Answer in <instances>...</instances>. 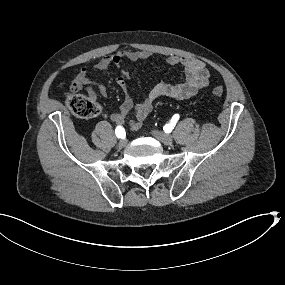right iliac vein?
Masks as SVG:
<instances>
[{
  "label": "right iliac vein",
  "instance_id": "63e3f726",
  "mask_svg": "<svg viewBox=\"0 0 285 285\" xmlns=\"http://www.w3.org/2000/svg\"><path fill=\"white\" fill-rule=\"evenodd\" d=\"M127 145V141L125 139H122L119 141V148H124Z\"/></svg>",
  "mask_w": 285,
  "mask_h": 285
}]
</instances>
